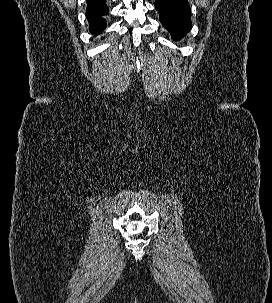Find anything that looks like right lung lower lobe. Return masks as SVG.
Listing matches in <instances>:
<instances>
[{
  "mask_svg": "<svg viewBox=\"0 0 272 303\" xmlns=\"http://www.w3.org/2000/svg\"><path fill=\"white\" fill-rule=\"evenodd\" d=\"M86 17L89 21V29L93 34L101 33L105 27V19L102 16L109 12L106 0H86Z\"/></svg>",
  "mask_w": 272,
  "mask_h": 303,
  "instance_id": "1",
  "label": "right lung lower lobe"
}]
</instances>
